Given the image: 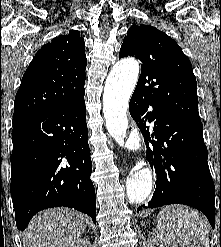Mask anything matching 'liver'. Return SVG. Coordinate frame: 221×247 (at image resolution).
Masks as SVG:
<instances>
[{
    "label": "liver",
    "instance_id": "1",
    "mask_svg": "<svg viewBox=\"0 0 221 247\" xmlns=\"http://www.w3.org/2000/svg\"><path fill=\"white\" fill-rule=\"evenodd\" d=\"M87 218L64 207L37 214L23 234L24 247H68L85 231Z\"/></svg>",
    "mask_w": 221,
    "mask_h": 247
}]
</instances>
